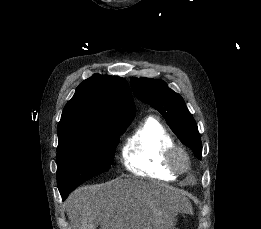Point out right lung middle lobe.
Here are the masks:
<instances>
[{"label": "right lung middle lobe", "instance_id": "right-lung-middle-lobe-1", "mask_svg": "<svg viewBox=\"0 0 261 229\" xmlns=\"http://www.w3.org/2000/svg\"><path fill=\"white\" fill-rule=\"evenodd\" d=\"M129 124L100 127L96 134L81 137L57 147V183L63 200L90 178L109 170L114 163L119 135Z\"/></svg>", "mask_w": 261, "mask_h": 229}]
</instances>
